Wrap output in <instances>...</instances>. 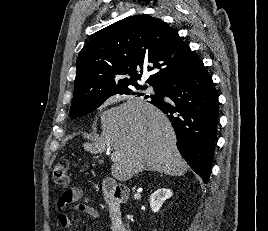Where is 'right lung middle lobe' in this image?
I'll return each mask as SVG.
<instances>
[{"mask_svg":"<svg viewBox=\"0 0 268 231\" xmlns=\"http://www.w3.org/2000/svg\"><path fill=\"white\" fill-rule=\"evenodd\" d=\"M152 86V85H151ZM155 90V95L151 96L152 98H157L160 96V87L158 86H152ZM146 89V86H136V87H129V88H124V89H120L114 93H112L111 95H108L102 99H99L95 102L89 103V104H81V103H72L71 104V108H70V114L69 117L70 118H76L78 116H83L86 115L94 110H96L100 105H102L104 103L105 100H107L110 96L112 95H116V94H126V95H135V94H139L133 91V89Z\"/></svg>","mask_w":268,"mask_h":231,"instance_id":"1","label":"right lung middle lobe"}]
</instances>
